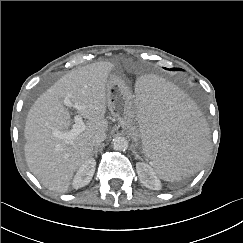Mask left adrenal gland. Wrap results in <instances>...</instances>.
I'll return each mask as SVG.
<instances>
[{
	"label": "left adrenal gland",
	"instance_id": "a2214340",
	"mask_svg": "<svg viewBox=\"0 0 243 243\" xmlns=\"http://www.w3.org/2000/svg\"><path fill=\"white\" fill-rule=\"evenodd\" d=\"M133 153H134L136 159H140V156L138 155V153L135 150H133Z\"/></svg>",
	"mask_w": 243,
	"mask_h": 243
}]
</instances>
